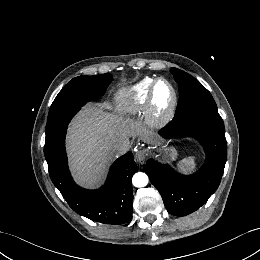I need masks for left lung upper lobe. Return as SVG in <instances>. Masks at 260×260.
<instances>
[{
	"label": "left lung upper lobe",
	"instance_id": "obj_1",
	"mask_svg": "<svg viewBox=\"0 0 260 260\" xmlns=\"http://www.w3.org/2000/svg\"><path fill=\"white\" fill-rule=\"evenodd\" d=\"M179 84V101L174 118H180L196 109H217L209 91L194 77L177 68H171Z\"/></svg>",
	"mask_w": 260,
	"mask_h": 260
}]
</instances>
